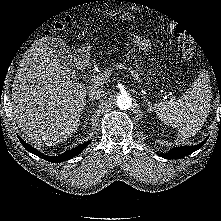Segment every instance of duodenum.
I'll list each match as a JSON object with an SVG mask.
<instances>
[{
	"instance_id": "1",
	"label": "duodenum",
	"mask_w": 221,
	"mask_h": 221,
	"mask_svg": "<svg viewBox=\"0 0 221 221\" xmlns=\"http://www.w3.org/2000/svg\"><path fill=\"white\" fill-rule=\"evenodd\" d=\"M82 60H83V59H82L80 56L77 57V61H78L79 63H82Z\"/></svg>"
}]
</instances>
